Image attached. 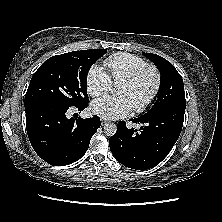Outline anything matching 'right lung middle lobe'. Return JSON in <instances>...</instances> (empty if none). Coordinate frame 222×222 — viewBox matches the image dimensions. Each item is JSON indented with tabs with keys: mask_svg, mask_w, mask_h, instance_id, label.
I'll return each instance as SVG.
<instances>
[{
	"mask_svg": "<svg viewBox=\"0 0 222 222\" xmlns=\"http://www.w3.org/2000/svg\"><path fill=\"white\" fill-rule=\"evenodd\" d=\"M106 49H90L56 55L33 74L25 95V109L40 103L77 106L88 101L86 76Z\"/></svg>",
	"mask_w": 222,
	"mask_h": 222,
	"instance_id": "dd1d6c3e",
	"label": "right lung middle lobe"
}]
</instances>
